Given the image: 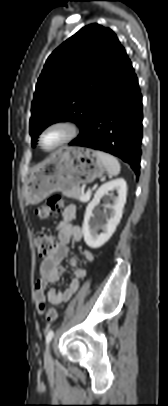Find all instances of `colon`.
Segmentation results:
<instances>
[{
    "mask_svg": "<svg viewBox=\"0 0 168 406\" xmlns=\"http://www.w3.org/2000/svg\"><path fill=\"white\" fill-rule=\"evenodd\" d=\"M64 199L59 195L50 196L41 206L36 209V215L42 220L54 218L62 209ZM35 244L40 258H46L57 245V239L48 234L38 233L35 235ZM39 311L48 321H55L58 312L55 307L47 305L43 300L39 301Z\"/></svg>",
    "mask_w": 168,
    "mask_h": 406,
    "instance_id": "colon-1",
    "label": "colon"
}]
</instances>
